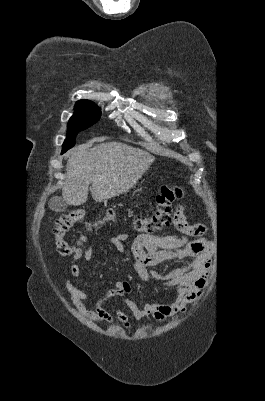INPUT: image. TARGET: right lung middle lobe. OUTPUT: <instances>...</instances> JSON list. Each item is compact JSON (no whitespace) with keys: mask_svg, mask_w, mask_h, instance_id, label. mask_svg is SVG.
Segmentation results:
<instances>
[{"mask_svg":"<svg viewBox=\"0 0 265 401\" xmlns=\"http://www.w3.org/2000/svg\"><path fill=\"white\" fill-rule=\"evenodd\" d=\"M75 114L67 124V138L62 145V153L75 145L76 135L92 126L100 119V109L96 105L75 106Z\"/></svg>","mask_w":265,"mask_h":401,"instance_id":"obj_1","label":"right lung middle lobe"}]
</instances>
